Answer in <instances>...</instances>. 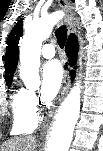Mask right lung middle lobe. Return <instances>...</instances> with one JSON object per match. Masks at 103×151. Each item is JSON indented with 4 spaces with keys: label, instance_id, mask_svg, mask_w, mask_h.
Wrapping results in <instances>:
<instances>
[{
    "label": "right lung middle lobe",
    "instance_id": "right-lung-middle-lobe-1",
    "mask_svg": "<svg viewBox=\"0 0 103 151\" xmlns=\"http://www.w3.org/2000/svg\"><path fill=\"white\" fill-rule=\"evenodd\" d=\"M7 86H10L12 83V80H6Z\"/></svg>",
    "mask_w": 103,
    "mask_h": 151
}]
</instances>
